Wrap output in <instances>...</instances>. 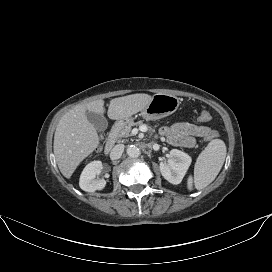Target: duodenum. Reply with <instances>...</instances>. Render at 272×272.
Wrapping results in <instances>:
<instances>
[{"mask_svg":"<svg viewBox=\"0 0 272 272\" xmlns=\"http://www.w3.org/2000/svg\"><path fill=\"white\" fill-rule=\"evenodd\" d=\"M122 127H123L122 121L118 120L114 123L112 130H111V132L108 136V139L105 143V146H104V153L105 154H108L112 150L114 145L116 144L118 133L120 132Z\"/></svg>","mask_w":272,"mask_h":272,"instance_id":"obj_1","label":"duodenum"}]
</instances>
